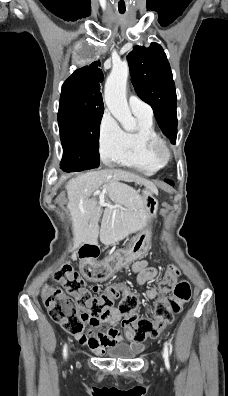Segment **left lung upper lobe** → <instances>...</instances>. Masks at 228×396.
<instances>
[{
    "label": "left lung upper lobe",
    "instance_id": "5c2ea615",
    "mask_svg": "<svg viewBox=\"0 0 228 396\" xmlns=\"http://www.w3.org/2000/svg\"><path fill=\"white\" fill-rule=\"evenodd\" d=\"M127 60L136 93L152 107L159 127L175 144L177 98L173 75L163 48L154 42L147 48L136 45Z\"/></svg>",
    "mask_w": 228,
    "mask_h": 396
}]
</instances>
